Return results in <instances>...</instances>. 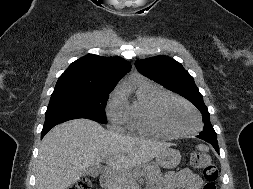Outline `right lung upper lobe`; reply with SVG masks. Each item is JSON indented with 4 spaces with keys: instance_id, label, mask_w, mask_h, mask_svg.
<instances>
[{
    "instance_id": "cb5924a9",
    "label": "right lung upper lobe",
    "mask_w": 253,
    "mask_h": 189,
    "mask_svg": "<svg viewBox=\"0 0 253 189\" xmlns=\"http://www.w3.org/2000/svg\"><path fill=\"white\" fill-rule=\"evenodd\" d=\"M130 69V63L120 57L88 54L70 64L55 88H114Z\"/></svg>"
}]
</instances>
